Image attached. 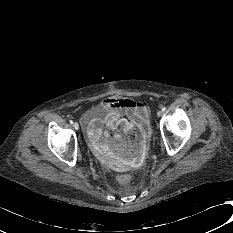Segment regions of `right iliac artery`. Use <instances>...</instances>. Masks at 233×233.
<instances>
[{
	"label": "right iliac artery",
	"instance_id": "obj_1",
	"mask_svg": "<svg viewBox=\"0 0 233 233\" xmlns=\"http://www.w3.org/2000/svg\"><path fill=\"white\" fill-rule=\"evenodd\" d=\"M70 123L72 124V123H73V121H72V120H70Z\"/></svg>",
	"mask_w": 233,
	"mask_h": 233
}]
</instances>
